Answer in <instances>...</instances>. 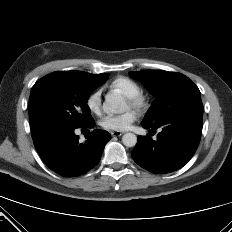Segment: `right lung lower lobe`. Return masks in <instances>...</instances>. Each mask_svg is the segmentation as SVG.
<instances>
[{
    "label": "right lung lower lobe",
    "mask_w": 232,
    "mask_h": 232,
    "mask_svg": "<svg viewBox=\"0 0 232 232\" xmlns=\"http://www.w3.org/2000/svg\"><path fill=\"white\" fill-rule=\"evenodd\" d=\"M94 127V122L83 128ZM76 128L49 127L31 130L34 145L50 169L65 177H76L88 172L99 161L110 134L94 130L85 143L79 142Z\"/></svg>",
    "instance_id": "1"
}]
</instances>
